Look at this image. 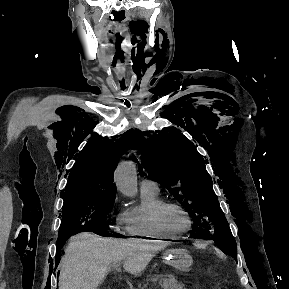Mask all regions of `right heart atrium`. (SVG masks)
<instances>
[{
    "label": "right heart atrium",
    "instance_id": "1",
    "mask_svg": "<svg viewBox=\"0 0 289 289\" xmlns=\"http://www.w3.org/2000/svg\"><path fill=\"white\" fill-rule=\"evenodd\" d=\"M119 201L118 197L117 196H114L113 199H112V204H117ZM121 221V218L119 219V222ZM120 226L116 225L114 226V230H120Z\"/></svg>",
    "mask_w": 289,
    "mask_h": 289
}]
</instances>
